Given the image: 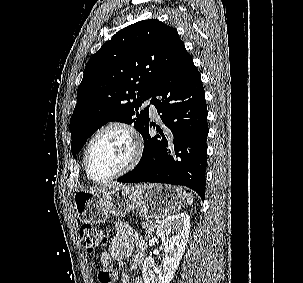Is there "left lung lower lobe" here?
Here are the masks:
<instances>
[{"mask_svg": "<svg viewBox=\"0 0 303 283\" xmlns=\"http://www.w3.org/2000/svg\"><path fill=\"white\" fill-rule=\"evenodd\" d=\"M151 103L164 127L151 138L148 122L141 133L145 145L140 162L117 181L187 186L204 200L207 107L201 75L186 49L156 88Z\"/></svg>", "mask_w": 303, "mask_h": 283, "instance_id": "left-lung-lower-lobe-1", "label": "left lung lower lobe"}]
</instances>
